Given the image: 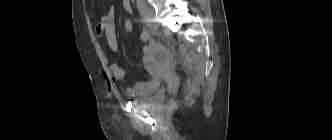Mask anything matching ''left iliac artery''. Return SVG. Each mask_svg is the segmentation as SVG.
Instances as JSON below:
<instances>
[{
  "label": "left iliac artery",
  "mask_w": 332,
  "mask_h": 140,
  "mask_svg": "<svg viewBox=\"0 0 332 140\" xmlns=\"http://www.w3.org/2000/svg\"><path fill=\"white\" fill-rule=\"evenodd\" d=\"M138 10L142 16L145 14L146 4L144 0H136Z\"/></svg>",
  "instance_id": "obj_1"
}]
</instances>
